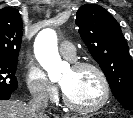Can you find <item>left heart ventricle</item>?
I'll return each instance as SVG.
<instances>
[{
  "label": "left heart ventricle",
  "mask_w": 133,
  "mask_h": 118,
  "mask_svg": "<svg viewBox=\"0 0 133 118\" xmlns=\"http://www.w3.org/2000/svg\"><path fill=\"white\" fill-rule=\"evenodd\" d=\"M69 100L78 106H91L97 103L103 94L97 74L90 69H68L60 79Z\"/></svg>",
  "instance_id": "1"
}]
</instances>
